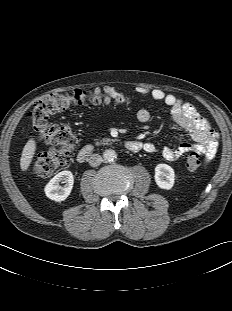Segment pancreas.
<instances>
[{
    "label": "pancreas",
    "instance_id": "1",
    "mask_svg": "<svg viewBox=\"0 0 232 311\" xmlns=\"http://www.w3.org/2000/svg\"><path fill=\"white\" fill-rule=\"evenodd\" d=\"M95 141H96L95 142L96 145H100V144L112 143V142H115L116 140L115 139H110V138H104L101 141H98V139H95Z\"/></svg>",
    "mask_w": 232,
    "mask_h": 311
}]
</instances>
